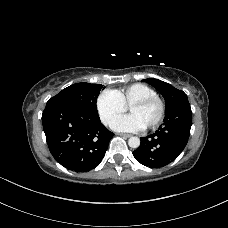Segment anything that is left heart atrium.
Here are the masks:
<instances>
[{
  "mask_svg": "<svg viewBox=\"0 0 228 228\" xmlns=\"http://www.w3.org/2000/svg\"><path fill=\"white\" fill-rule=\"evenodd\" d=\"M112 129L122 132H139L146 127L140 119L134 114L116 117L111 122Z\"/></svg>",
  "mask_w": 228,
  "mask_h": 228,
  "instance_id": "39dd6f15",
  "label": "left heart atrium"
}]
</instances>
